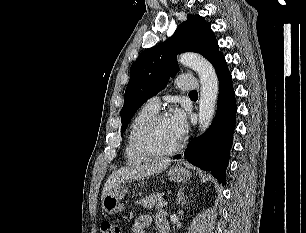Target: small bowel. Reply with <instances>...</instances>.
I'll list each match as a JSON object with an SVG mask.
<instances>
[{
    "mask_svg": "<svg viewBox=\"0 0 306 233\" xmlns=\"http://www.w3.org/2000/svg\"><path fill=\"white\" fill-rule=\"evenodd\" d=\"M150 223L151 219L149 216L142 215L138 217L132 226V233H146V228L149 226ZM156 225L158 227V230L161 226L167 225L165 217L162 215L157 216Z\"/></svg>",
    "mask_w": 306,
    "mask_h": 233,
    "instance_id": "c3829d8e",
    "label": "small bowel"
}]
</instances>
